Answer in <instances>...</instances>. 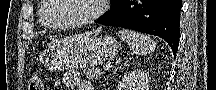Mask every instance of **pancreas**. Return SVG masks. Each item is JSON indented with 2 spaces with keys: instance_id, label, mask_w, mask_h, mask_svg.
Instances as JSON below:
<instances>
[{
  "instance_id": "obj_1",
  "label": "pancreas",
  "mask_w": 216,
  "mask_h": 90,
  "mask_svg": "<svg viewBox=\"0 0 216 90\" xmlns=\"http://www.w3.org/2000/svg\"><path fill=\"white\" fill-rule=\"evenodd\" d=\"M98 69L99 64H92V67H87V70H84L83 74L88 78V80H98Z\"/></svg>"
}]
</instances>
